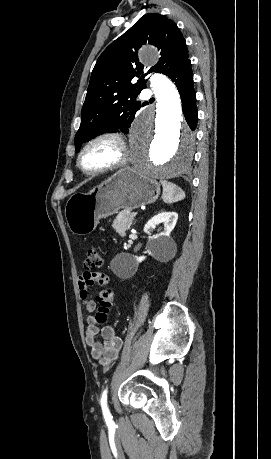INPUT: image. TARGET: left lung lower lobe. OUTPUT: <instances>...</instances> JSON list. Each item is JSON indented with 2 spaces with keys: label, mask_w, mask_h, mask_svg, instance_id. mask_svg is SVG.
I'll return each instance as SVG.
<instances>
[{
  "label": "left lung lower lobe",
  "mask_w": 271,
  "mask_h": 459,
  "mask_svg": "<svg viewBox=\"0 0 271 459\" xmlns=\"http://www.w3.org/2000/svg\"><path fill=\"white\" fill-rule=\"evenodd\" d=\"M181 96L183 114L191 130L196 129L198 111L196 108V93L193 86L191 61L184 60L170 75Z\"/></svg>",
  "instance_id": "obj_1"
}]
</instances>
